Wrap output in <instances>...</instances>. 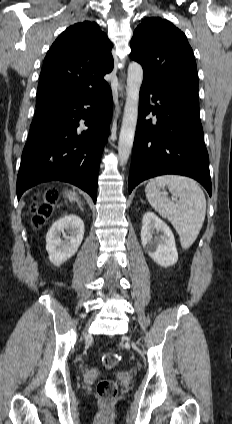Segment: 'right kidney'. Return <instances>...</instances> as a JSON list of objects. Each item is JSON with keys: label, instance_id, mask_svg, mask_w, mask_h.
<instances>
[{"label": "right kidney", "instance_id": "ca27d5eb", "mask_svg": "<svg viewBox=\"0 0 232 424\" xmlns=\"http://www.w3.org/2000/svg\"><path fill=\"white\" fill-rule=\"evenodd\" d=\"M84 231V223L77 215H65L51 226L46 235V250L55 266H60L77 252Z\"/></svg>", "mask_w": 232, "mask_h": 424}]
</instances>
